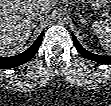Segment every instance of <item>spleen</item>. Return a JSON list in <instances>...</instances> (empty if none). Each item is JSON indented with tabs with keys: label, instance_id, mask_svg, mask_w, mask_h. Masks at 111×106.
Returning a JSON list of instances; mask_svg holds the SVG:
<instances>
[{
	"label": "spleen",
	"instance_id": "3e777b00",
	"mask_svg": "<svg viewBox=\"0 0 111 106\" xmlns=\"http://www.w3.org/2000/svg\"><path fill=\"white\" fill-rule=\"evenodd\" d=\"M94 33L98 36L101 45L111 53V22L110 21H95L92 25Z\"/></svg>",
	"mask_w": 111,
	"mask_h": 106
}]
</instances>
